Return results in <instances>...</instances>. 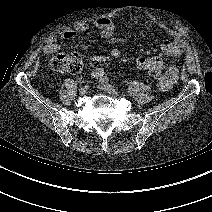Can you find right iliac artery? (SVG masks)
I'll use <instances>...</instances> for the list:
<instances>
[{
	"label": "right iliac artery",
	"instance_id": "right-iliac-artery-1",
	"mask_svg": "<svg viewBox=\"0 0 212 212\" xmlns=\"http://www.w3.org/2000/svg\"><path fill=\"white\" fill-rule=\"evenodd\" d=\"M104 76V70L103 68H96L94 71L91 73V78H101Z\"/></svg>",
	"mask_w": 212,
	"mask_h": 212
}]
</instances>
